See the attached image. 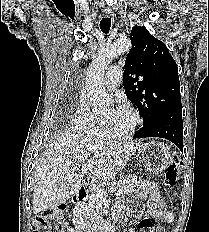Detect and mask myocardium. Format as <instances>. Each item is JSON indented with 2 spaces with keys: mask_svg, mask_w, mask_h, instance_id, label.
<instances>
[{
  "mask_svg": "<svg viewBox=\"0 0 209 232\" xmlns=\"http://www.w3.org/2000/svg\"><path fill=\"white\" fill-rule=\"evenodd\" d=\"M124 110H126L132 116V119H133V123L130 129L127 132L121 133V134L112 133L108 127L107 120L105 118H102V129L106 137L113 138V139H126V138L131 137L134 134V132L136 131V129L141 123L140 115L136 110L129 108V107L124 108Z\"/></svg>",
  "mask_w": 209,
  "mask_h": 232,
  "instance_id": "f54148a6",
  "label": "myocardium"
}]
</instances>
